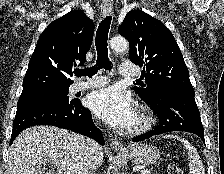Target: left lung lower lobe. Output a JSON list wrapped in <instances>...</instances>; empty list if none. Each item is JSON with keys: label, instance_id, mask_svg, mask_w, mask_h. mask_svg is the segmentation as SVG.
Listing matches in <instances>:
<instances>
[{"label": "left lung lower lobe", "instance_id": "left-lung-lower-lobe-1", "mask_svg": "<svg viewBox=\"0 0 224 174\" xmlns=\"http://www.w3.org/2000/svg\"><path fill=\"white\" fill-rule=\"evenodd\" d=\"M194 97V91H159L152 101L146 102L158 116L159 124L152 131L134 137L133 141L172 131L194 133L204 141V130Z\"/></svg>", "mask_w": 224, "mask_h": 174}]
</instances>
